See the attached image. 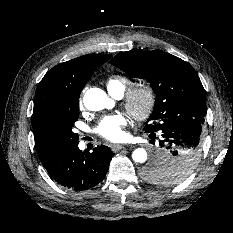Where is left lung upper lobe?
I'll return each mask as SVG.
<instances>
[{
    "label": "left lung upper lobe",
    "instance_id": "1",
    "mask_svg": "<svg viewBox=\"0 0 233 233\" xmlns=\"http://www.w3.org/2000/svg\"><path fill=\"white\" fill-rule=\"evenodd\" d=\"M110 63L130 77L147 79L156 94L154 111L145 131L156 132L167 122L196 119L204 123L205 90L192 66L161 50L117 54ZM197 158L182 156L165 164L150 162L142 177L152 183L177 184L194 170Z\"/></svg>",
    "mask_w": 233,
    "mask_h": 233
}]
</instances>
